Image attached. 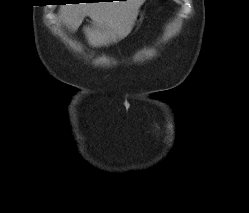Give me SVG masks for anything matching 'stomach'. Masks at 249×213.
Returning a JSON list of instances; mask_svg holds the SVG:
<instances>
[{
  "instance_id": "1",
  "label": "stomach",
  "mask_w": 249,
  "mask_h": 213,
  "mask_svg": "<svg viewBox=\"0 0 249 213\" xmlns=\"http://www.w3.org/2000/svg\"><path fill=\"white\" fill-rule=\"evenodd\" d=\"M137 17H139V20H140V21L143 19V15H142V14H139V13H138Z\"/></svg>"
}]
</instances>
